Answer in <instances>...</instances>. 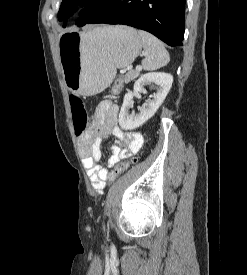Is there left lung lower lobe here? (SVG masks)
<instances>
[{"label": "left lung lower lobe", "mask_w": 247, "mask_h": 275, "mask_svg": "<svg viewBox=\"0 0 247 275\" xmlns=\"http://www.w3.org/2000/svg\"><path fill=\"white\" fill-rule=\"evenodd\" d=\"M185 2L186 0H108L85 24L129 25L152 33L169 46H182Z\"/></svg>", "instance_id": "left-lung-lower-lobe-1"}]
</instances>
